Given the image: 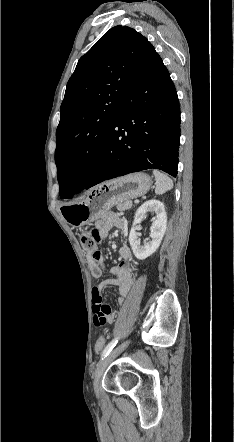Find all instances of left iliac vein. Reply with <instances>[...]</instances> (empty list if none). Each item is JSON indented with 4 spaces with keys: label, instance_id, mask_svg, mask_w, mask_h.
Returning <instances> with one entry per match:
<instances>
[{
    "label": "left iliac vein",
    "instance_id": "1",
    "mask_svg": "<svg viewBox=\"0 0 234 442\" xmlns=\"http://www.w3.org/2000/svg\"><path fill=\"white\" fill-rule=\"evenodd\" d=\"M130 340L125 341L121 345L114 348L105 358H103L94 373V389L95 392L98 394L99 392V383L100 380L107 368V366L128 346Z\"/></svg>",
    "mask_w": 234,
    "mask_h": 442
}]
</instances>
